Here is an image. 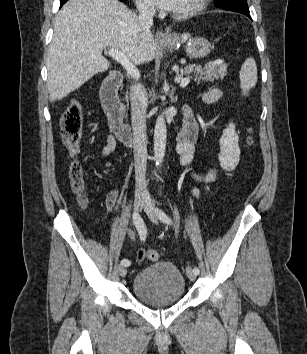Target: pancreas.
Instances as JSON below:
<instances>
[{"label":"pancreas","mask_w":307,"mask_h":354,"mask_svg":"<svg viewBox=\"0 0 307 354\" xmlns=\"http://www.w3.org/2000/svg\"><path fill=\"white\" fill-rule=\"evenodd\" d=\"M191 73H194L195 82H211L214 79H223L227 75V65L209 62L202 67L201 65L191 64L180 68V75L178 77L182 78L184 75H190Z\"/></svg>","instance_id":"obj_1"}]
</instances>
